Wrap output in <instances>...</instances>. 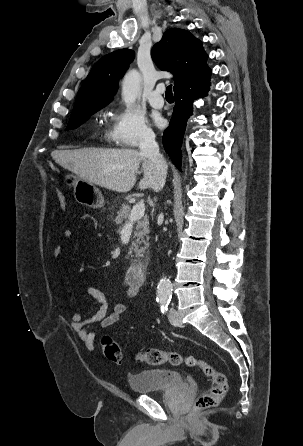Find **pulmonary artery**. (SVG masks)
<instances>
[{
	"label": "pulmonary artery",
	"instance_id": "pulmonary-artery-1",
	"mask_svg": "<svg viewBox=\"0 0 303 446\" xmlns=\"http://www.w3.org/2000/svg\"><path fill=\"white\" fill-rule=\"evenodd\" d=\"M164 92V86L158 85L149 95V103L154 108H161L164 105V98L162 93Z\"/></svg>",
	"mask_w": 303,
	"mask_h": 446
}]
</instances>
